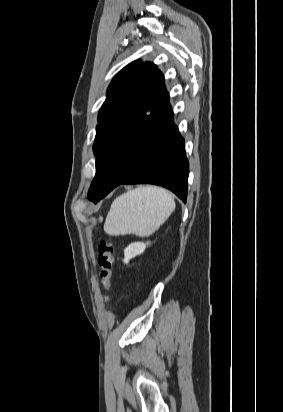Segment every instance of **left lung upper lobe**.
<instances>
[{
	"instance_id": "obj_1",
	"label": "left lung upper lobe",
	"mask_w": 283,
	"mask_h": 412,
	"mask_svg": "<svg viewBox=\"0 0 283 412\" xmlns=\"http://www.w3.org/2000/svg\"><path fill=\"white\" fill-rule=\"evenodd\" d=\"M171 111L164 77L152 63L135 61L112 80L99 115L93 151L125 156L133 167L145 153L158 123ZM100 184L92 181L88 199L95 200Z\"/></svg>"
}]
</instances>
